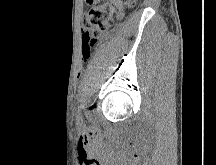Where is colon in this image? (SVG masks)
<instances>
[{"mask_svg":"<svg viewBox=\"0 0 216 165\" xmlns=\"http://www.w3.org/2000/svg\"><path fill=\"white\" fill-rule=\"evenodd\" d=\"M89 10L85 16L82 29V55L88 58L92 48L118 18L123 10L132 6L135 0H85Z\"/></svg>","mask_w":216,"mask_h":165,"instance_id":"obj_1","label":"colon"}]
</instances>
